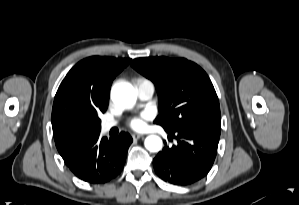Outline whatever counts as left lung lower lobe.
<instances>
[{
	"mask_svg": "<svg viewBox=\"0 0 299 205\" xmlns=\"http://www.w3.org/2000/svg\"><path fill=\"white\" fill-rule=\"evenodd\" d=\"M178 144L166 146L153 160L157 175L175 185H190L210 171L220 138V123L165 129Z\"/></svg>",
	"mask_w": 299,
	"mask_h": 205,
	"instance_id": "obj_1",
	"label": "left lung lower lobe"
}]
</instances>
